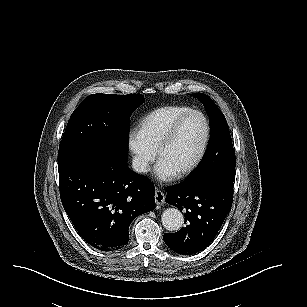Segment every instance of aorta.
Instances as JSON below:
<instances>
[{"instance_id": "762f6f07", "label": "aorta", "mask_w": 307, "mask_h": 307, "mask_svg": "<svg viewBox=\"0 0 307 307\" xmlns=\"http://www.w3.org/2000/svg\"><path fill=\"white\" fill-rule=\"evenodd\" d=\"M161 222L167 230L177 231L184 223V216L179 209L168 207L161 214Z\"/></svg>"}]
</instances>
